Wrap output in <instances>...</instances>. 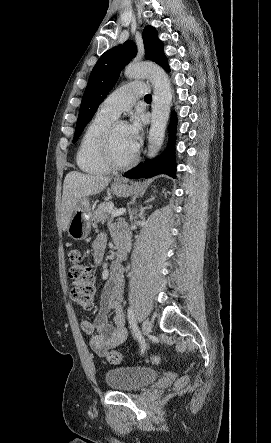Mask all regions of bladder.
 Returning a JSON list of instances; mask_svg holds the SVG:
<instances>
[{"mask_svg": "<svg viewBox=\"0 0 271 443\" xmlns=\"http://www.w3.org/2000/svg\"><path fill=\"white\" fill-rule=\"evenodd\" d=\"M158 375V371L150 367L120 366L106 372L105 382L114 391L130 392L152 383Z\"/></svg>", "mask_w": 271, "mask_h": 443, "instance_id": "bladder-1", "label": "bladder"}]
</instances>
